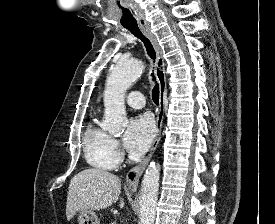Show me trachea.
I'll use <instances>...</instances> for the list:
<instances>
[{"label":"trachea","mask_w":275,"mask_h":224,"mask_svg":"<svg viewBox=\"0 0 275 224\" xmlns=\"http://www.w3.org/2000/svg\"><path fill=\"white\" fill-rule=\"evenodd\" d=\"M126 28L134 36L139 38L144 43V46L147 50V54L150 56L151 59L155 60L156 53H155L154 47H153L152 43L150 42V40L141 32L138 25L127 26ZM151 76H152V80L155 82V77H154L153 72L151 73ZM152 99L155 104H157V105L159 104V85L157 83H155V86L152 90Z\"/></svg>","instance_id":"trachea-1"}]
</instances>
